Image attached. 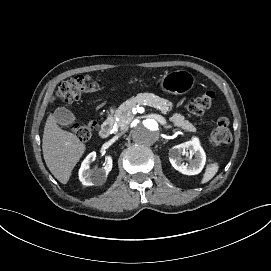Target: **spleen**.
I'll return each instance as SVG.
<instances>
[{"mask_svg": "<svg viewBox=\"0 0 271 271\" xmlns=\"http://www.w3.org/2000/svg\"><path fill=\"white\" fill-rule=\"evenodd\" d=\"M216 171H217V167L213 164H210L207 167L206 173L204 174L203 182L209 181L214 176Z\"/></svg>", "mask_w": 271, "mask_h": 271, "instance_id": "3e777b00", "label": "spleen"}]
</instances>
